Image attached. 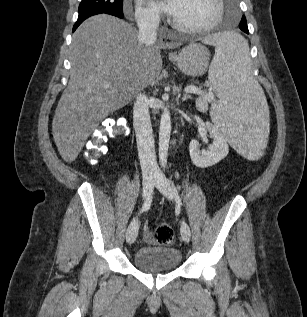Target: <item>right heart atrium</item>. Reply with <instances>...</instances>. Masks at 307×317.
<instances>
[{"label": "right heart atrium", "instance_id": "right-heart-atrium-1", "mask_svg": "<svg viewBox=\"0 0 307 317\" xmlns=\"http://www.w3.org/2000/svg\"><path fill=\"white\" fill-rule=\"evenodd\" d=\"M135 18L139 25L152 27L159 21V14L154 9L143 5V3L139 1L136 5Z\"/></svg>", "mask_w": 307, "mask_h": 317}]
</instances>
